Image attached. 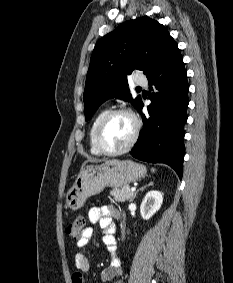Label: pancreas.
I'll return each instance as SVG.
<instances>
[{
  "label": "pancreas",
  "mask_w": 233,
  "mask_h": 283,
  "mask_svg": "<svg viewBox=\"0 0 233 283\" xmlns=\"http://www.w3.org/2000/svg\"><path fill=\"white\" fill-rule=\"evenodd\" d=\"M110 194L114 197V199L118 202L132 201L134 196V192L131 191L129 185H125L121 188H114L110 191Z\"/></svg>",
  "instance_id": "obj_1"
}]
</instances>
